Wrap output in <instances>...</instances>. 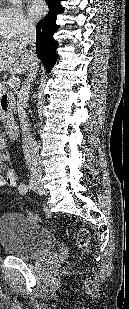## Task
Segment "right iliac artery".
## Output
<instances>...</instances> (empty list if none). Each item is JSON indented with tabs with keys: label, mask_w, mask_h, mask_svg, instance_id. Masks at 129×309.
Instances as JSON below:
<instances>
[{
	"label": "right iliac artery",
	"mask_w": 129,
	"mask_h": 309,
	"mask_svg": "<svg viewBox=\"0 0 129 309\" xmlns=\"http://www.w3.org/2000/svg\"><path fill=\"white\" fill-rule=\"evenodd\" d=\"M18 190H19V192H20L21 194H25V193L28 192L29 186H27V185H25V184H21V185L19 186Z\"/></svg>",
	"instance_id": "obj_1"
}]
</instances>
